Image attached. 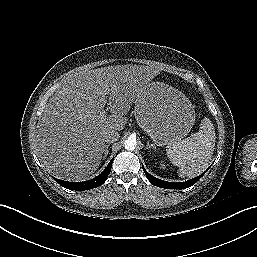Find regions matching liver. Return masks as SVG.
Segmentation results:
<instances>
[{
    "label": "liver",
    "instance_id": "obj_1",
    "mask_svg": "<svg viewBox=\"0 0 257 257\" xmlns=\"http://www.w3.org/2000/svg\"><path fill=\"white\" fill-rule=\"evenodd\" d=\"M158 73L157 67L127 64L69 79L49 99L38 126V154L46 171L69 181L86 180L106 152L103 133L124 129L131 106Z\"/></svg>",
    "mask_w": 257,
    "mask_h": 257
}]
</instances>
